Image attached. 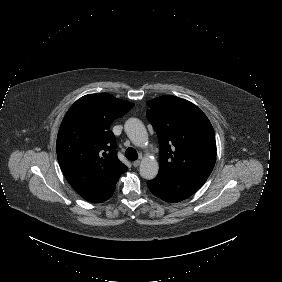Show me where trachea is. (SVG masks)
<instances>
[{"instance_id":"obj_1","label":"trachea","mask_w":282,"mask_h":282,"mask_svg":"<svg viewBox=\"0 0 282 282\" xmlns=\"http://www.w3.org/2000/svg\"><path fill=\"white\" fill-rule=\"evenodd\" d=\"M125 155H126V158L130 161H135L138 158L137 151L132 147H128L126 149Z\"/></svg>"}]
</instances>
